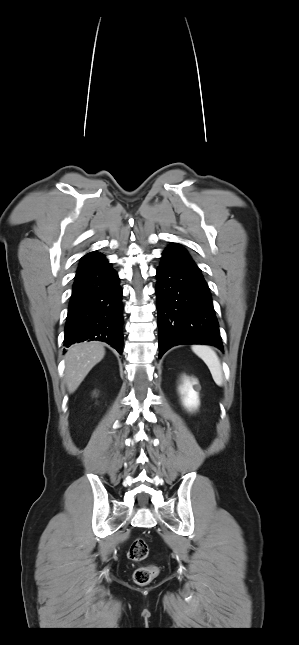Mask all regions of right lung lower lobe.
Returning <instances> with one entry per match:
<instances>
[{
    "mask_svg": "<svg viewBox=\"0 0 299 645\" xmlns=\"http://www.w3.org/2000/svg\"><path fill=\"white\" fill-rule=\"evenodd\" d=\"M122 311L119 277L105 256L79 266L69 302L64 346L94 340L108 343L121 354Z\"/></svg>",
    "mask_w": 299,
    "mask_h": 645,
    "instance_id": "obj_1",
    "label": "right lung lower lobe"
}]
</instances>
